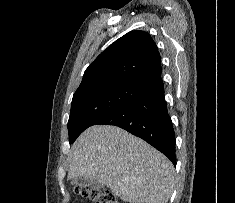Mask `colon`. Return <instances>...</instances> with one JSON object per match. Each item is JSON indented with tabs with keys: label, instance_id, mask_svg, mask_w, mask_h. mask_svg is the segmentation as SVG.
I'll list each match as a JSON object with an SVG mask.
<instances>
[{
	"label": "colon",
	"instance_id": "colon-1",
	"mask_svg": "<svg viewBox=\"0 0 235 203\" xmlns=\"http://www.w3.org/2000/svg\"><path fill=\"white\" fill-rule=\"evenodd\" d=\"M75 191L93 203H118L114 194L105 187H76Z\"/></svg>",
	"mask_w": 235,
	"mask_h": 203
}]
</instances>
